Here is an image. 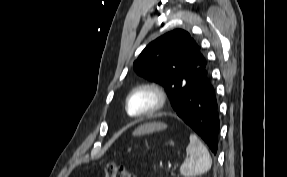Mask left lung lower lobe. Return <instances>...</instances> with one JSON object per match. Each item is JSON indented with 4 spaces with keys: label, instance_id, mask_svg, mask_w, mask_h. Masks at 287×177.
<instances>
[{
    "label": "left lung lower lobe",
    "instance_id": "0a47b994",
    "mask_svg": "<svg viewBox=\"0 0 287 177\" xmlns=\"http://www.w3.org/2000/svg\"><path fill=\"white\" fill-rule=\"evenodd\" d=\"M174 110L216 154L219 116L214 88L206 69L197 82L182 94L181 101Z\"/></svg>",
    "mask_w": 287,
    "mask_h": 177
}]
</instances>
